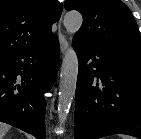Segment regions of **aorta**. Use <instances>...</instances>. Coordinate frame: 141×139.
<instances>
[{
  "label": "aorta",
  "instance_id": "762f6f07",
  "mask_svg": "<svg viewBox=\"0 0 141 139\" xmlns=\"http://www.w3.org/2000/svg\"><path fill=\"white\" fill-rule=\"evenodd\" d=\"M83 22L82 15L77 11L65 14L63 24L71 38L80 29ZM78 76V58L75 50L70 46L63 58L60 74L59 97H58V119L64 124L71 104L75 97Z\"/></svg>",
  "mask_w": 141,
  "mask_h": 139
}]
</instances>
